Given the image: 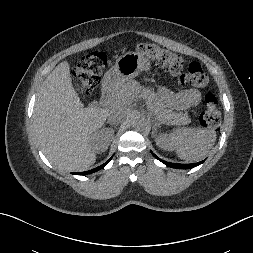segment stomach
Returning <instances> with one entry per match:
<instances>
[{
    "instance_id": "stomach-1",
    "label": "stomach",
    "mask_w": 253,
    "mask_h": 253,
    "mask_svg": "<svg viewBox=\"0 0 253 253\" xmlns=\"http://www.w3.org/2000/svg\"><path fill=\"white\" fill-rule=\"evenodd\" d=\"M151 68L150 61L140 53L128 52L121 55L115 65L104 75L103 86L116 90L136 77L141 71Z\"/></svg>"
}]
</instances>
